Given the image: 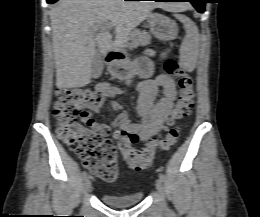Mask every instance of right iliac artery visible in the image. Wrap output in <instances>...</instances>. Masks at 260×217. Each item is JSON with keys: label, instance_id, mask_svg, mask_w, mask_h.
I'll return each instance as SVG.
<instances>
[{"label": "right iliac artery", "instance_id": "right-iliac-artery-1", "mask_svg": "<svg viewBox=\"0 0 260 217\" xmlns=\"http://www.w3.org/2000/svg\"><path fill=\"white\" fill-rule=\"evenodd\" d=\"M82 177H83V179H85V178L87 177L86 171H84V172L82 173Z\"/></svg>", "mask_w": 260, "mask_h": 217}]
</instances>
